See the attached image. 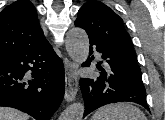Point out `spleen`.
Returning <instances> with one entry per match:
<instances>
[{
    "label": "spleen",
    "mask_w": 165,
    "mask_h": 120,
    "mask_svg": "<svg viewBox=\"0 0 165 120\" xmlns=\"http://www.w3.org/2000/svg\"><path fill=\"white\" fill-rule=\"evenodd\" d=\"M91 120H147V118L138 107L129 103H115L98 109Z\"/></svg>",
    "instance_id": "spleen-1"
}]
</instances>
